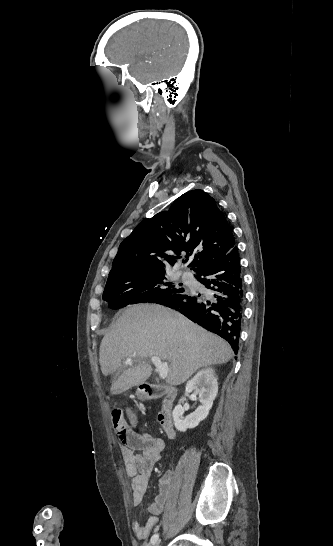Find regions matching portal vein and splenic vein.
Returning <instances> with one entry per match:
<instances>
[{"label":"portal vein and splenic vein","mask_w":333,"mask_h":546,"mask_svg":"<svg viewBox=\"0 0 333 546\" xmlns=\"http://www.w3.org/2000/svg\"><path fill=\"white\" fill-rule=\"evenodd\" d=\"M150 361L155 365L157 371L159 372V376L162 379H165L168 375L169 367L167 362H162L161 359L157 356L150 357ZM132 357H128L126 360V363H131Z\"/></svg>","instance_id":"18ae733b"}]
</instances>
